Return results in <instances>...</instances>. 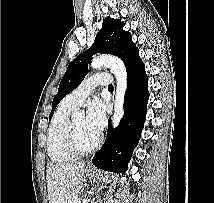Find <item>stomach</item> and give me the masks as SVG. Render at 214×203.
<instances>
[{
    "instance_id": "1",
    "label": "stomach",
    "mask_w": 214,
    "mask_h": 203,
    "mask_svg": "<svg viewBox=\"0 0 214 203\" xmlns=\"http://www.w3.org/2000/svg\"><path fill=\"white\" fill-rule=\"evenodd\" d=\"M85 175L86 177L92 179L95 177V170L92 169V168H88L86 171H85Z\"/></svg>"
}]
</instances>
